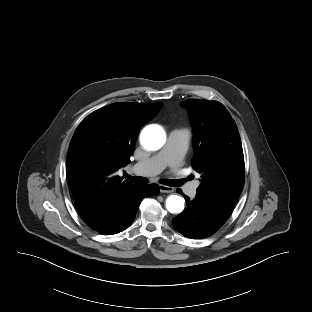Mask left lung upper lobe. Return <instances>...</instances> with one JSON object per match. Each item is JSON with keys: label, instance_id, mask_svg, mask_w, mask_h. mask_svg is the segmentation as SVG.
<instances>
[{"label": "left lung upper lobe", "instance_id": "left-lung-upper-lobe-1", "mask_svg": "<svg viewBox=\"0 0 312 312\" xmlns=\"http://www.w3.org/2000/svg\"><path fill=\"white\" fill-rule=\"evenodd\" d=\"M194 126L193 168L201 174L196 196L232 212L244 186V156L239 132L227 109L217 101L181 103Z\"/></svg>", "mask_w": 312, "mask_h": 312}]
</instances>
